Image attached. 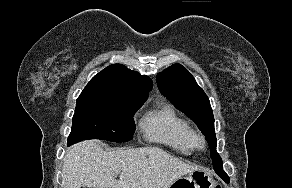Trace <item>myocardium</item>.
<instances>
[{
  "instance_id": "f54148a6",
  "label": "myocardium",
  "mask_w": 292,
  "mask_h": 188,
  "mask_svg": "<svg viewBox=\"0 0 292 188\" xmlns=\"http://www.w3.org/2000/svg\"><path fill=\"white\" fill-rule=\"evenodd\" d=\"M195 146L199 149H204L206 146L205 140L202 136H195Z\"/></svg>"
}]
</instances>
